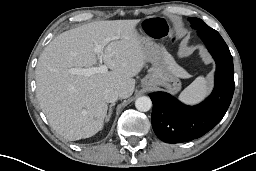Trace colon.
Segmentation results:
<instances>
[{"label": "colon", "mask_w": 256, "mask_h": 171, "mask_svg": "<svg viewBox=\"0 0 256 171\" xmlns=\"http://www.w3.org/2000/svg\"><path fill=\"white\" fill-rule=\"evenodd\" d=\"M146 31L154 38H162L168 35L169 26L160 19H150L145 24Z\"/></svg>", "instance_id": "1"}]
</instances>
